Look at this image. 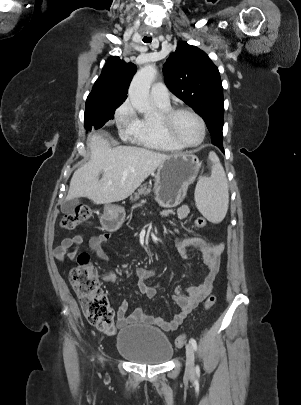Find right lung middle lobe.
Here are the masks:
<instances>
[{"label":"right lung middle lobe","mask_w":301,"mask_h":405,"mask_svg":"<svg viewBox=\"0 0 301 405\" xmlns=\"http://www.w3.org/2000/svg\"><path fill=\"white\" fill-rule=\"evenodd\" d=\"M117 107H110L102 101H92L86 103L84 127L87 130L91 128H100L106 122L113 119Z\"/></svg>","instance_id":"right-lung-middle-lobe-1"}]
</instances>
